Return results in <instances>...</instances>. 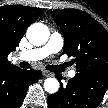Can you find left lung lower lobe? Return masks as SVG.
<instances>
[{"mask_svg": "<svg viewBox=\"0 0 108 108\" xmlns=\"http://www.w3.org/2000/svg\"><path fill=\"white\" fill-rule=\"evenodd\" d=\"M61 80V75H56ZM48 97L49 108H97L108 89V72L76 74Z\"/></svg>", "mask_w": 108, "mask_h": 108, "instance_id": "1", "label": "left lung lower lobe"}]
</instances>
